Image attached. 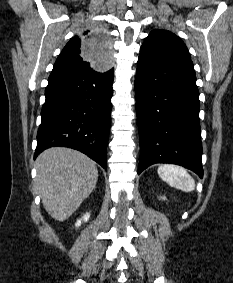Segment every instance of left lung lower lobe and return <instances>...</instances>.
Masks as SVG:
<instances>
[{
    "instance_id": "0a47b994",
    "label": "left lung lower lobe",
    "mask_w": 233,
    "mask_h": 283,
    "mask_svg": "<svg viewBox=\"0 0 233 283\" xmlns=\"http://www.w3.org/2000/svg\"><path fill=\"white\" fill-rule=\"evenodd\" d=\"M135 95L140 135L138 174L155 163H172L202 178L200 102L191 59L141 49Z\"/></svg>"
}]
</instances>
